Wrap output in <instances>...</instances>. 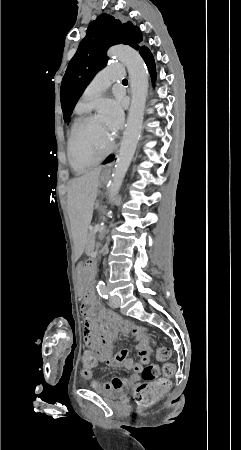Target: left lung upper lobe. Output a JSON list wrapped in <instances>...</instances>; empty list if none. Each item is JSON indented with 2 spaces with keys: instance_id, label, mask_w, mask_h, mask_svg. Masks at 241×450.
Returning <instances> with one entry per match:
<instances>
[{
  "instance_id": "obj_1",
  "label": "left lung upper lobe",
  "mask_w": 241,
  "mask_h": 450,
  "mask_svg": "<svg viewBox=\"0 0 241 450\" xmlns=\"http://www.w3.org/2000/svg\"><path fill=\"white\" fill-rule=\"evenodd\" d=\"M142 41V33L137 26L131 22L121 23L109 14H101L89 24L86 36L69 62L61 83L60 97L65 122L69 120L86 86L107 64V49L122 43L141 53L147 49L139 45Z\"/></svg>"
}]
</instances>
